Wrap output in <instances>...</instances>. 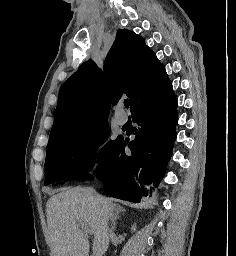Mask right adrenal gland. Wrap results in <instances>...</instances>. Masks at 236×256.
I'll return each instance as SVG.
<instances>
[{"label": "right adrenal gland", "instance_id": "right-adrenal-gland-1", "mask_svg": "<svg viewBox=\"0 0 236 256\" xmlns=\"http://www.w3.org/2000/svg\"><path fill=\"white\" fill-rule=\"evenodd\" d=\"M119 212H125V210H122L121 208V210H118V212H116L115 216H112L111 218L112 226H111L110 232H115L116 220H119V216H118Z\"/></svg>", "mask_w": 236, "mask_h": 256}]
</instances>
